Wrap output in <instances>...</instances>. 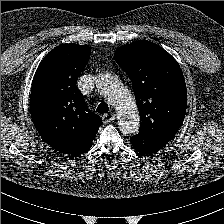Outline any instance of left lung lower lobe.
Segmentation results:
<instances>
[{
    "instance_id": "1",
    "label": "left lung lower lobe",
    "mask_w": 224,
    "mask_h": 224,
    "mask_svg": "<svg viewBox=\"0 0 224 224\" xmlns=\"http://www.w3.org/2000/svg\"><path fill=\"white\" fill-rule=\"evenodd\" d=\"M130 141L132 146L143 155L158 152L167 144L153 135L147 134L143 131H139L138 134L130 137Z\"/></svg>"
}]
</instances>
